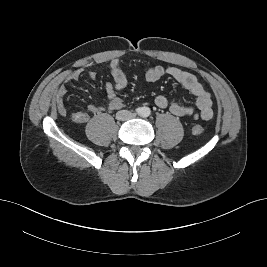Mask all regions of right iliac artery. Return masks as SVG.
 I'll list each match as a JSON object with an SVG mask.
<instances>
[{"label":"right iliac artery","instance_id":"82829eb1","mask_svg":"<svg viewBox=\"0 0 267 267\" xmlns=\"http://www.w3.org/2000/svg\"><path fill=\"white\" fill-rule=\"evenodd\" d=\"M136 112L141 113V109L140 108L136 109Z\"/></svg>","mask_w":267,"mask_h":267}]
</instances>
